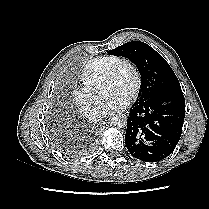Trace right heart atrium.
I'll return each instance as SVG.
<instances>
[{"instance_id": "right-heart-atrium-1", "label": "right heart atrium", "mask_w": 209, "mask_h": 209, "mask_svg": "<svg viewBox=\"0 0 209 209\" xmlns=\"http://www.w3.org/2000/svg\"><path fill=\"white\" fill-rule=\"evenodd\" d=\"M72 101L78 111L89 119L96 120L103 114V103L100 98L86 87L76 88L72 92Z\"/></svg>"}]
</instances>
